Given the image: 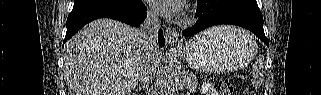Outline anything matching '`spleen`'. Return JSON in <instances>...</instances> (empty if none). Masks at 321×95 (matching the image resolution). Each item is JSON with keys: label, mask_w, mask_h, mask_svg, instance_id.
I'll use <instances>...</instances> for the list:
<instances>
[{"label": "spleen", "mask_w": 321, "mask_h": 95, "mask_svg": "<svg viewBox=\"0 0 321 95\" xmlns=\"http://www.w3.org/2000/svg\"><path fill=\"white\" fill-rule=\"evenodd\" d=\"M220 29L221 32H227L232 29L231 27L227 26H221V27H215L210 29L209 31H216V29ZM264 73H265V61H264V56L259 55L257 60L255 61L253 65V78H252V85L255 88H259L263 82L264 79Z\"/></svg>", "instance_id": "spleen-1"}]
</instances>
